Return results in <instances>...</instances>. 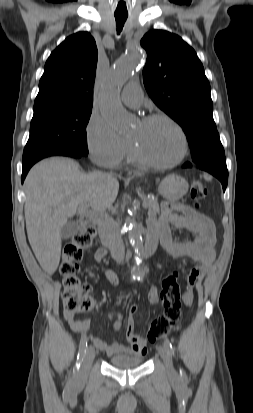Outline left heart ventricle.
Instances as JSON below:
<instances>
[{
  "label": "left heart ventricle",
  "instance_id": "b2bd125f",
  "mask_svg": "<svg viewBox=\"0 0 253 413\" xmlns=\"http://www.w3.org/2000/svg\"><path fill=\"white\" fill-rule=\"evenodd\" d=\"M142 153L155 162L174 160L180 153L181 140L176 130L166 121L139 123L130 135Z\"/></svg>",
  "mask_w": 253,
  "mask_h": 413
}]
</instances>
